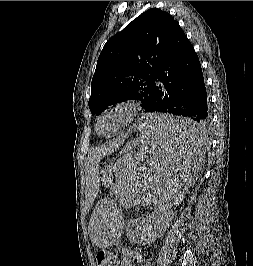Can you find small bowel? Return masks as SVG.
Masks as SVG:
<instances>
[{
	"label": "small bowel",
	"mask_w": 253,
	"mask_h": 266,
	"mask_svg": "<svg viewBox=\"0 0 253 266\" xmlns=\"http://www.w3.org/2000/svg\"><path fill=\"white\" fill-rule=\"evenodd\" d=\"M119 252L121 258L119 260L118 266H133V260H137L141 263V266H151L149 262H143L141 254L133 251L129 248H120Z\"/></svg>",
	"instance_id": "1"
}]
</instances>
